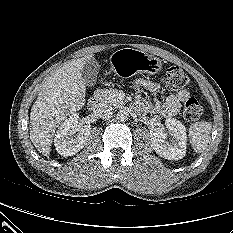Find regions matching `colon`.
Here are the masks:
<instances>
[{"label": "colon", "instance_id": "colon-1", "mask_svg": "<svg viewBox=\"0 0 233 233\" xmlns=\"http://www.w3.org/2000/svg\"><path fill=\"white\" fill-rule=\"evenodd\" d=\"M162 80L164 84L172 90L181 89L189 84V77L178 66L166 68ZM203 109L200 102L190 97L186 100L183 107V117L190 122L196 121L202 115Z\"/></svg>", "mask_w": 233, "mask_h": 233}]
</instances>
